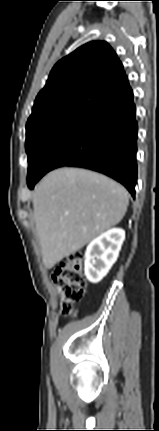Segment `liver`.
Wrapping results in <instances>:
<instances>
[{
  "instance_id": "liver-1",
  "label": "liver",
  "mask_w": 159,
  "mask_h": 431,
  "mask_svg": "<svg viewBox=\"0 0 159 431\" xmlns=\"http://www.w3.org/2000/svg\"><path fill=\"white\" fill-rule=\"evenodd\" d=\"M32 200L33 220L47 269L117 225L129 203L122 185L78 168L48 173L35 187Z\"/></svg>"
}]
</instances>
